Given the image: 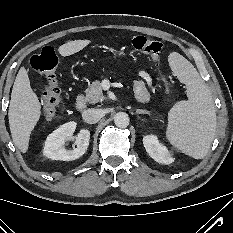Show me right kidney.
Here are the masks:
<instances>
[{
  "instance_id": "ca27d5eb",
  "label": "right kidney",
  "mask_w": 233,
  "mask_h": 233,
  "mask_svg": "<svg viewBox=\"0 0 233 233\" xmlns=\"http://www.w3.org/2000/svg\"><path fill=\"white\" fill-rule=\"evenodd\" d=\"M75 129L76 123L69 122L53 131L45 141L44 156L51 160L71 161L84 155L89 145L90 131L82 129L77 136H73ZM71 139H75L77 148L66 150L64 144Z\"/></svg>"
}]
</instances>
